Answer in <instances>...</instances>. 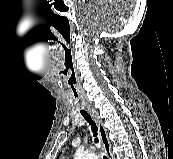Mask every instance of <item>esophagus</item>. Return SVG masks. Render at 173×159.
Returning a JSON list of instances; mask_svg holds the SVG:
<instances>
[{
    "instance_id": "1",
    "label": "esophagus",
    "mask_w": 173,
    "mask_h": 159,
    "mask_svg": "<svg viewBox=\"0 0 173 159\" xmlns=\"http://www.w3.org/2000/svg\"><path fill=\"white\" fill-rule=\"evenodd\" d=\"M88 111L90 112V114L92 115V117L94 118V120L97 124L98 133H99L100 141L102 144V148H103L104 152L106 153L107 158L108 159H115L113 156V153H112L111 144H110V140L108 138L107 131L103 125V121H102L100 115L92 107H89Z\"/></svg>"
}]
</instances>
